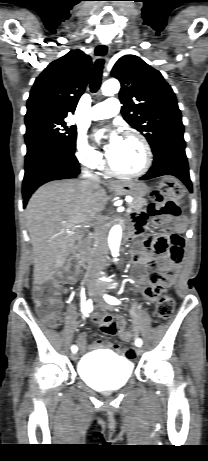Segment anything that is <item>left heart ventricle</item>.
<instances>
[{
    "label": "left heart ventricle",
    "mask_w": 208,
    "mask_h": 461,
    "mask_svg": "<svg viewBox=\"0 0 208 461\" xmlns=\"http://www.w3.org/2000/svg\"><path fill=\"white\" fill-rule=\"evenodd\" d=\"M108 156L115 169L126 173L140 170L145 161L142 145L134 137H121Z\"/></svg>",
    "instance_id": "1"
}]
</instances>
